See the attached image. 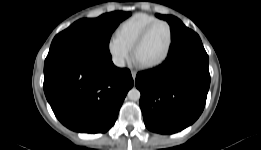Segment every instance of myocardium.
<instances>
[{
	"mask_svg": "<svg viewBox=\"0 0 261 150\" xmlns=\"http://www.w3.org/2000/svg\"><path fill=\"white\" fill-rule=\"evenodd\" d=\"M159 24H163L167 27L168 29V32H169V44H168V48H167V51L166 53L164 54V56L159 59L158 61L156 62H153V63H149V64H141L139 63V65L143 68H146V69H153V68H157L161 65H163L167 60L168 58L170 57V54L172 52V48H173V42H174V35H173V29L171 27V25L165 21V20H156L152 23H150L141 33L140 35L138 36V38L136 39V41L134 42L133 44V47H132V53H133V57L136 59V54H137V51L138 49L140 48V46L143 44V42L146 40L147 36L149 35V33L151 32V30L159 25Z\"/></svg>",
	"mask_w": 261,
	"mask_h": 150,
	"instance_id": "myocardium-1",
	"label": "myocardium"
}]
</instances>
